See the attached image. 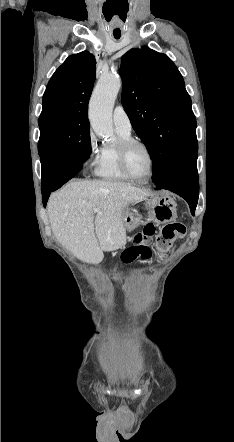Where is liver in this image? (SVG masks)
Wrapping results in <instances>:
<instances>
[{
  "mask_svg": "<svg viewBox=\"0 0 234 442\" xmlns=\"http://www.w3.org/2000/svg\"><path fill=\"white\" fill-rule=\"evenodd\" d=\"M149 195L147 190L121 182L72 181L50 196L47 209L52 231L78 259L96 265L103 260V251L125 246L124 209ZM94 208L100 210L96 216Z\"/></svg>",
  "mask_w": 234,
  "mask_h": 442,
  "instance_id": "1",
  "label": "liver"
}]
</instances>
